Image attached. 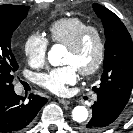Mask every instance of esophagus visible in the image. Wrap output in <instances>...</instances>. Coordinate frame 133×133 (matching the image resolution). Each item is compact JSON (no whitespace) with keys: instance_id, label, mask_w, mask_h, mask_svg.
I'll use <instances>...</instances> for the list:
<instances>
[{"instance_id":"obj_1","label":"esophagus","mask_w":133,"mask_h":133,"mask_svg":"<svg viewBox=\"0 0 133 133\" xmlns=\"http://www.w3.org/2000/svg\"><path fill=\"white\" fill-rule=\"evenodd\" d=\"M58 101H59L61 104H64V105L70 104V101H69V100H66V99L58 98Z\"/></svg>"}]
</instances>
